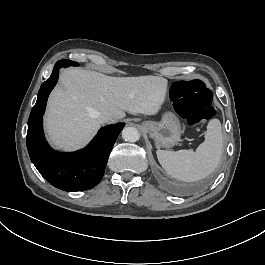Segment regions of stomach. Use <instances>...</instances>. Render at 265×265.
I'll return each instance as SVG.
<instances>
[{"mask_svg": "<svg viewBox=\"0 0 265 265\" xmlns=\"http://www.w3.org/2000/svg\"><path fill=\"white\" fill-rule=\"evenodd\" d=\"M142 128L154 139L157 148H172L181 137L180 123L172 114H166L161 122L144 121Z\"/></svg>", "mask_w": 265, "mask_h": 265, "instance_id": "1", "label": "stomach"}]
</instances>
